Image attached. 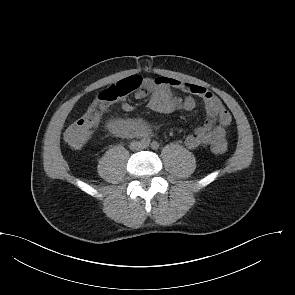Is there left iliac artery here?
<instances>
[{
	"label": "left iliac artery",
	"mask_w": 295,
	"mask_h": 295,
	"mask_svg": "<svg viewBox=\"0 0 295 295\" xmlns=\"http://www.w3.org/2000/svg\"><path fill=\"white\" fill-rule=\"evenodd\" d=\"M151 148H152L153 150H158V149H159V143H158L157 141H153V142L151 143Z\"/></svg>",
	"instance_id": "obj_1"
}]
</instances>
